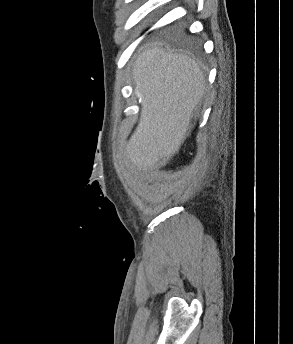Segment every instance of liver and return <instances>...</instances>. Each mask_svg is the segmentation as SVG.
I'll list each match as a JSON object with an SVG mask.
<instances>
[{
	"label": "liver",
	"mask_w": 293,
	"mask_h": 344,
	"mask_svg": "<svg viewBox=\"0 0 293 344\" xmlns=\"http://www.w3.org/2000/svg\"><path fill=\"white\" fill-rule=\"evenodd\" d=\"M132 76L141 116L126 156L134 166L157 167L179 151L206 79L195 60L158 44L137 57Z\"/></svg>",
	"instance_id": "obj_1"
}]
</instances>
